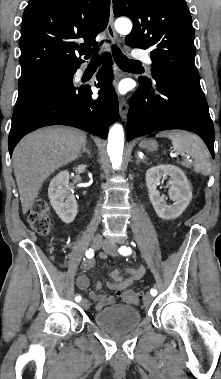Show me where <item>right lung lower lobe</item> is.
Instances as JSON below:
<instances>
[{
  "instance_id": "right-lung-lower-lobe-1",
  "label": "right lung lower lobe",
  "mask_w": 221,
  "mask_h": 379,
  "mask_svg": "<svg viewBox=\"0 0 221 379\" xmlns=\"http://www.w3.org/2000/svg\"><path fill=\"white\" fill-rule=\"evenodd\" d=\"M97 74L99 97L92 99L89 85L74 87L72 69L35 90L27 103L13 113L8 147L10 156L17 143L28 133L48 125L73 126L107 138L108 127L119 117L116 93L112 87L111 59L107 55Z\"/></svg>"
}]
</instances>
